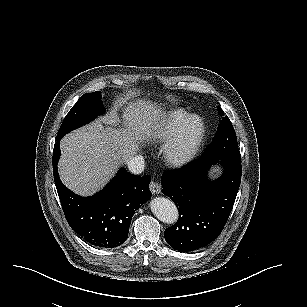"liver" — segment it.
Instances as JSON below:
<instances>
[{"instance_id": "liver-1", "label": "liver", "mask_w": 307, "mask_h": 307, "mask_svg": "<svg viewBox=\"0 0 307 307\" xmlns=\"http://www.w3.org/2000/svg\"><path fill=\"white\" fill-rule=\"evenodd\" d=\"M112 107L118 108L116 124L108 119L110 110L66 133L59 141V179L81 198L103 190L128 160L160 139L170 119L166 104L147 96L130 100L115 97Z\"/></svg>"}]
</instances>
